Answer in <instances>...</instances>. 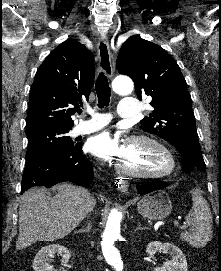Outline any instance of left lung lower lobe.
<instances>
[{"label": "left lung lower lobe", "mask_w": 221, "mask_h": 271, "mask_svg": "<svg viewBox=\"0 0 221 271\" xmlns=\"http://www.w3.org/2000/svg\"><path fill=\"white\" fill-rule=\"evenodd\" d=\"M183 171L185 173H189L190 171H202L197 168L192 161L183 158ZM167 187L166 182H145L142 185H137V191L140 194H146L158 189H164Z\"/></svg>", "instance_id": "1"}]
</instances>
